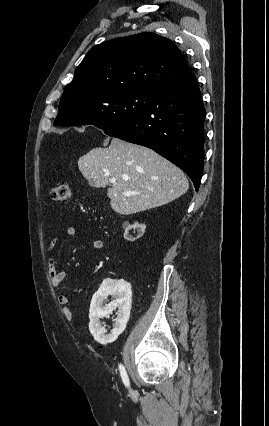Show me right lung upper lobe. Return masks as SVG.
Wrapping results in <instances>:
<instances>
[{
    "instance_id": "obj_1",
    "label": "right lung upper lobe",
    "mask_w": 269,
    "mask_h": 426,
    "mask_svg": "<svg viewBox=\"0 0 269 426\" xmlns=\"http://www.w3.org/2000/svg\"><path fill=\"white\" fill-rule=\"evenodd\" d=\"M191 72L171 40L154 33H140L91 48L62 97L76 94L91 98L128 90L152 92Z\"/></svg>"
}]
</instances>
